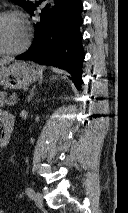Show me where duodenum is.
<instances>
[{
    "instance_id": "410a0bca",
    "label": "duodenum",
    "mask_w": 128,
    "mask_h": 213,
    "mask_svg": "<svg viewBox=\"0 0 128 213\" xmlns=\"http://www.w3.org/2000/svg\"><path fill=\"white\" fill-rule=\"evenodd\" d=\"M2 124H3V128L0 134V147L4 148L9 145L12 138V134H13L14 126H15L14 116L7 113L2 119Z\"/></svg>"
}]
</instances>
